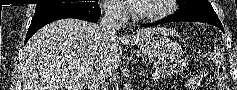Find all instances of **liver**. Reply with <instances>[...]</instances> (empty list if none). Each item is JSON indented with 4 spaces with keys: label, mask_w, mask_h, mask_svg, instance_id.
I'll return each mask as SVG.
<instances>
[{
    "label": "liver",
    "mask_w": 237,
    "mask_h": 90,
    "mask_svg": "<svg viewBox=\"0 0 237 90\" xmlns=\"http://www.w3.org/2000/svg\"><path fill=\"white\" fill-rule=\"evenodd\" d=\"M157 30H141L136 36L101 38L98 24L83 20H58L44 26L28 40L20 66L23 90H84L93 62H108L117 70L122 46L140 44Z\"/></svg>",
    "instance_id": "6515ba94"
}]
</instances>
